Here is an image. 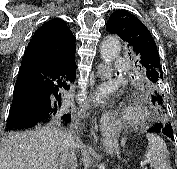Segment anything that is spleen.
I'll return each instance as SVG.
<instances>
[{"instance_id": "obj_1", "label": "spleen", "mask_w": 177, "mask_h": 169, "mask_svg": "<svg viewBox=\"0 0 177 169\" xmlns=\"http://www.w3.org/2000/svg\"><path fill=\"white\" fill-rule=\"evenodd\" d=\"M146 138L148 140V149L145 153V160L154 169H172L165 141L156 134H147Z\"/></svg>"}]
</instances>
